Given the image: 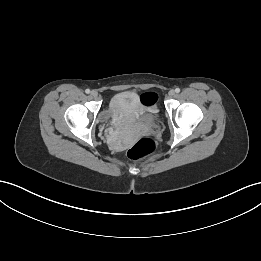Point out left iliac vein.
I'll list each match as a JSON object with an SVG mask.
<instances>
[{"label": "left iliac vein", "instance_id": "4c4485c4", "mask_svg": "<svg viewBox=\"0 0 261 261\" xmlns=\"http://www.w3.org/2000/svg\"><path fill=\"white\" fill-rule=\"evenodd\" d=\"M168 95L170 96V97H173L174 95H175V90H170L169 92H168Z\"/></svg>", "mask_w": 261, "mask_h": 261}]
</instances>
